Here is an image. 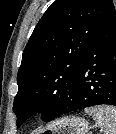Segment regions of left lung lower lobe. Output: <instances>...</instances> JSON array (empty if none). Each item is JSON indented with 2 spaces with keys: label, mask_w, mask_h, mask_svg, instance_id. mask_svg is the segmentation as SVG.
<instances>
[{
  "label": "left lung lower lobe",
  "mask_w": 116,
  "mask_h": 134,
  "mask_svg": "<svg viewBox=\"0 0 116 134\" xmlns=\"http://www.w3.org/2000/svg\"><path fill=\"white\" fill-rule=\"evenodd\" d=\"M102 104L116 106L115 8L107 16L88 49L76 80L75 91L57 109L51 120L78 109Z\"/></svg>",
  "instance_id": "0a47b994"
}]
</instances>
